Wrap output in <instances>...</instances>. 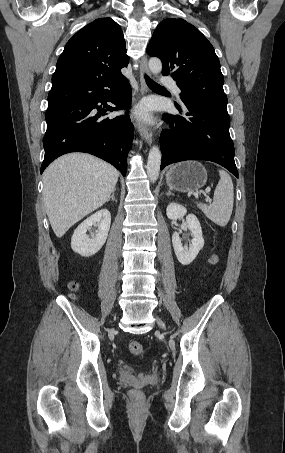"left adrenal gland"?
<instances>
[{
    "label": "left adrenal gland",
    "instance_id": "left-adrenal-gland-1",
    "mask_svg": "<svg viewBox=\"0 0 285 453\" xmlns=\"http://www.w3.org/2000/svg\"><path fill=\"white\" fill-rule=\"evenodd\" d=\"M170 195L174 196V194L170 190H168L167 196H170Z\"/></svg>",
    "mask_w": 285,
    "mask_h": 453
}]
</instances>
